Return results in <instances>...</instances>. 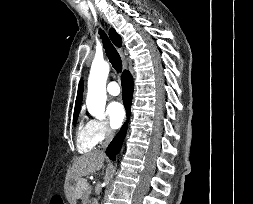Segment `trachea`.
Instances as JSON below:
<instances>
[{
  "label": "trachea",
  "mask_w": 253,
  "mask_h": 204,
  "mask_svg": "<svg viewBox=\"0 0 253 204\" xmlns=\"http://www.w3.org/2000/svg\"><path fill=\"white\" fill-rule=\"evenodd\" d=\"M107 57L117 73L122 72V61L117 50L114 48L104 31H99Z\"/></svg>",
  "instance_id": "3493384b"
}]
</instances>
